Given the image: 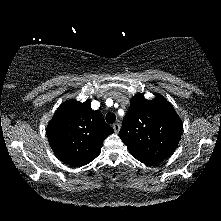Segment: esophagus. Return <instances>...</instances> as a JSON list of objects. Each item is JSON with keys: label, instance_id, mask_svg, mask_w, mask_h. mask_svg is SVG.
<instances>
[{"label": "esophagus", "instance_id": "esophagus-1", "mask_svg": "<svg viewBox=\"0 0 221 221\" xmlns=\"http://www.w3.org/2000/svg\"><path fill=\"white\" fill-rule=\"evenodd\" d=\"M112 128H113V130H114L115 133H118V132L120 131V124L114 123V124L112 125Z\"/></svg>", "mask_w": 221, "mask_h": 221}]
</instances>
